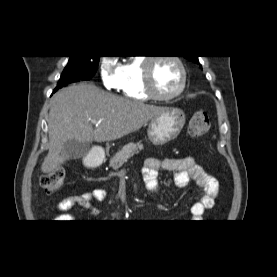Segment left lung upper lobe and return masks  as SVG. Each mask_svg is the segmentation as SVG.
<instances>
[{
	"label": "left lung upper lobe",
	"mask_w": 277,
	"mask_h": 277,
	"mask_svg": "<svg viewBox=\"0 0 277 277\" xmlns=\"http://www.w3.org/2000/svg\"><path fill=\"white\" fill-rule=\"evenodd\" d=\"M187 58L189 60H191L192 62L197 63V64H199L201 66V64L199 63V60H198V56H192V57H187Z\"/></svg>",
	"instance_id": "5c2ea615"
}]
</instances>
